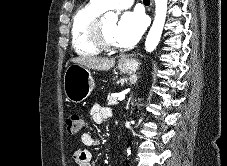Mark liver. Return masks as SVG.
<instances>
[{"label": "liver", "instance_id": "1", "mask_svg": "<svg viewBox=\"0 0 227 166\" xmlns=\"http://www.w3.org/2000/svg\"><path fill=\"white\" fill-rule=\"evenodd\" d=\"M71 62L81 65L88 69H94L98 71L109 70L115 65V59L100 58L93 56H80L71 59Z\"/></svg>", "mask_w": 227, "mask_h": 166}]
</instances>
